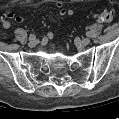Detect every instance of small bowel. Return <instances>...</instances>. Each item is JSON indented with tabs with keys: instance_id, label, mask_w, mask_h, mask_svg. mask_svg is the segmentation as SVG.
Listing matches in <instances>:
<instances>
[{
	"instance_id": "small-bowel-1",
	"label": "small bowel",
	"mask_w": 119,
	"mask_h": 119,
	"mask_svg": "<svg viewBox=\"0 0 119 119\" xmlns=\"http://www.w3.org/2000/svg\"><path fill=\"white\" fill-rule=\"evenodd\" d=\"M37 6H41V4H38ZM55 7L57 8L58 13L61 16H71L73 14V11L71 9L66 8L65 5L60 1L55 2ZM1 19H2V26L5 29H8L11 26V22H10L11 19H15L17 22H22L23 17L16 16L13 12H5L2 15ZM48 37H49V39H52L53 34L49 33Z\"/></svg>"
}]
</instances>
